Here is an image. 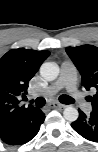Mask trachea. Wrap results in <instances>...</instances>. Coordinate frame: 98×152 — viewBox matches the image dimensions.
Listing matches in <instances>:
<instances>
[{
  "instance_id": "obj_1",
  "label": "trachea",
  "mask_w": 98,
  "mask_h": 152,
  "mask_svg": "<svg viewBox=\"0 0 98 152\" xmlns=\"http://www.w3.org/2000/svg\"><path fill=\"white\" fill-rule=\"evenodd\" d=\"M59 101L63 104H71L74 102V100L68 95H61ZM30 103H34L36 107L41 108L45 105L46 100L42 97H38L35 100H31Z\"/></svg>"
}]
</instances>
